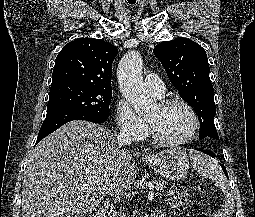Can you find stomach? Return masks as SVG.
I'll return each instance as SVG.
<instances>
[{"label": "stomach", "instance_id": "obj_1", "mask_svg": "<svg viewBox=\"0 0 255 217\" xmlns=\"http://www.w3.org/2000/svg\"><path fill=\"white\" fill-rule=\"evenodd\" d=\"M146 164L168 180H180L187 175L189 161L185 150L167 149L145 158Z\"/></svg>", "mask_w": 255, "mask_h": 217}]
</instances>
